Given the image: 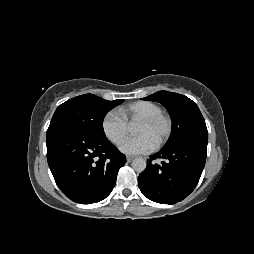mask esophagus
Returning <instances> with one entry per match:
<instances>
[{"mask_svg":"<svg viewBox=\"0 0 254 254\" xmlns=\"http://www.w3.org/2000/svg\"><path fill=\"white\" fill-rule=\"evenodd\" d=\"M127 162H131L133 160V157L132 156H127Z\"/></svg>","mask_w":254,"mask_h":254,"instance_id":"obj_1","label":"esophagus"}]
</instances>
